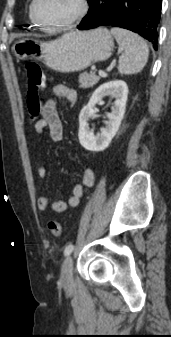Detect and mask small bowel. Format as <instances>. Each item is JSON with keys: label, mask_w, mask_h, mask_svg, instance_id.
I'll return each mask as SVG.
<instances>
[{"label": "small bowel", "mask_w": 171, "mask_h": 337, "mask_svg": "<svg viewBox=\"0 0 171 337\" xmlns=\"http://www.w3.org/2000/svg\"><path fill=\"white\" fill-rule=\"evenodd\" d=\"M52 94L55 97L66 99L71 106H74L78 99L77 92L74 89L62 84L53 87ZM34 128L39 137H42L44 131L48 130L49 137L53 142L62 140L63 125L57 111L56 103L52 98L46 100L42 109V117L35 123ZM47 174L46 167L43 165L39 166V178L44 180L47 178ZM94 180L95 173L93 169L86 168L83 172L81 182L74 185L72 194L67 200L52 201L50 196L42 195L37 201L38 208L60 213L65 211L68 207H75L80 202L84 188L91 187L94 184Z\"/></svg>", "instance_id": "c3829d8e"}]
</instances>
